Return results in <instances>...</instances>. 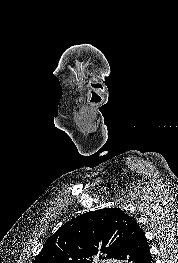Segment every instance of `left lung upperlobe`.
Here are the masks:
<instances>
[{
    "mask_svg": "<svg viewBox=\"0 0 178 263\" xmlns=\"http://www.w3.org/2000/svg\"><path fill=\"white\" fill-rule=\"evenodd\" d=\"M133 220L119 208L84 213L49 237L33 263H92L101 252L114 258Z\"/></svg>",
    "mask_w": 178,
    "mask_h": 263,
    "instance_id": "obj_1",
    "label": "left lung upper lobe"
}]
</instances>
